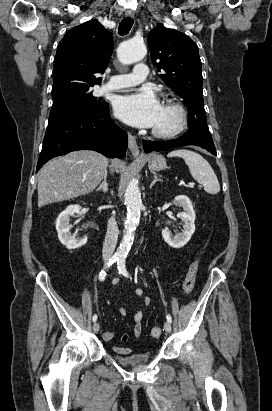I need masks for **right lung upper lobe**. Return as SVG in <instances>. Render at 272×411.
I'll return each instance as SVG.
<instances>
[{
  "label": "right lung upper lobe",
  "instance_id": "1",
  "mask_svg": "<svg viewBox=\"0 0 272 411\" xmlns=\"http://www.w3.org/2000/svg\"><path fill=\"white\" fill-rule=\"evenodd\" d=\"M113 49V39L97 20L87 21L68 31L57 48L53 68L52 98L101 83Z\"/></svg>",
  "mask_w": 272,
  "mask_h": 411
}]
</instances>
